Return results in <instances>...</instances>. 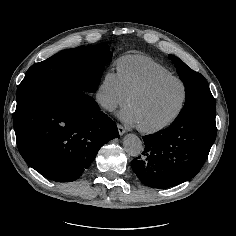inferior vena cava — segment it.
Listing matches in <instances>:
<instances>
[{
  "mask_svg": "<svg viewBox=\"0 0 236 236\" xmlns=\"http://www.w3.org/2000/svg\"><path fill=\"white\" fill-rule=\"evenodd\" d=\"M97 102L102 106H106L109 103V96L103 91H99L96 95Z\"/></svg>",
  "mask_w": 236,
  "mask_h": 236,
  "instance_id": "obj_1",
  "label": "inferior vena cava"
}]
</instances>
